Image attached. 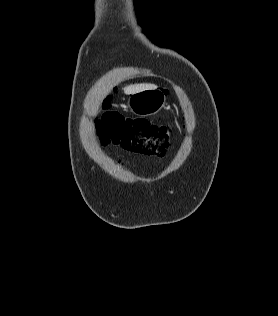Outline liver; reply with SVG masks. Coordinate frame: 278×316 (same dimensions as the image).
<instances>
[{
    "mask_svg": "<svg viewBox=\"0 0 278 316\" xmlns=\"http://www.w3.org/2000/svg\"><path fill=\"white\" fill-rule=\"evenodd\" d=\"M157 86L153 84H135V85H129L124 88V92L126 94H134L143 90L147 89H156Z\"/></svg>",
    "mask_w": 278,
    "mask_h": 316,
    "instance_id": "1",
    "label": "liver"
}]
</instances>
